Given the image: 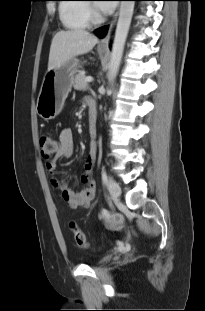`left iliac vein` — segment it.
<instances>
[{
    "label": "left iliac vein",
    "instance_id": "1",
    "mask_svg": "<svg viewBox=\"0 0 205 311\" xmlns=\"http://www.w3.org/2000/svg\"><path fill=\"white\" fill-rule=\"evenodd\" d=\"M108 190L113 200H118L121 194V189L118 183L110 179L108 181Z\"/></svg>",
    "mask_w": 205,
    "mask_h": 311
}]
</instances>
